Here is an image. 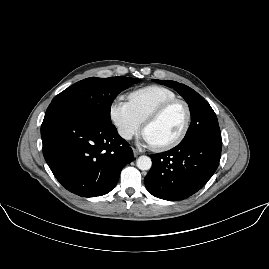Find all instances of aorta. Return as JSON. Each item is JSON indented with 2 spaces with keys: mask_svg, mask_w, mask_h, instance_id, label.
<instances>
[{
  "mask_svg": "<svg viewBox=\"0 0 269 269\" xmlns=\"http://www.w3.org/2000/svg\"><path fill=\"white\" fill-rule=\"evenodd\" d=\"M136 165L142 171L149 170L152 166L151 158L145 155L139 156Z\"/></svg>",
  "mask_w": 269,
  "mask_h": 269,
  "instance_id": "762f6f07",
  "label": "aorta"
}]
</instances>
